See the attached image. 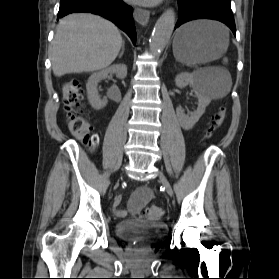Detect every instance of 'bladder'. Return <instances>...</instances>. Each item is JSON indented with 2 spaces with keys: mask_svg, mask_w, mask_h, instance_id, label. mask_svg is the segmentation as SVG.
Here are the masks:
<instances>
[{
  "mask_svg": "<svg viewBox=\"0 0 279 279\" xmlns=\"http://www.w3.org/2000/svg\"><path fill=\"white\" fill-rule=\"evenodd\" d=\"M117 237L143 244H154L164 240L168 226L162 222L145 220H125L115 227Z\"/></svg>",
  "mask_w": 279,
  "mask_h": 279,
  "instance_id": "obj_1",
  "label": "bladder"
}]
</instances>
